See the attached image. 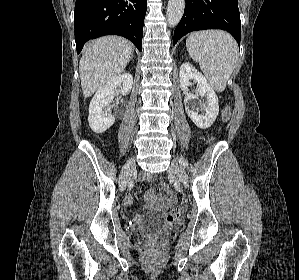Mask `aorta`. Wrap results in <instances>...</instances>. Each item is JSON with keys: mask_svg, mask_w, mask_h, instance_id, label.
Here are the masks:
<instances>
[{"mask_svg": "<svg viewBox=\"0 0 299 280\" xmlns=\"http://www.w3.org/2000/svg\"><path fill=\"white\" fill-rule=\"evenodd\" d=\"M185 8V0H169L167 6V22L170 26H176L181 20Z\"/></svg>", "mask_w": 299, "mask_h": 280, "instance_id": "1", "label": "aorta"}]
</instances>
